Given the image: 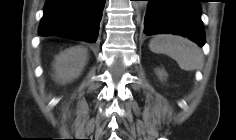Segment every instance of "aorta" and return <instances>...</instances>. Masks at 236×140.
Wrapping results in <instances>:
<instances>
[{"label": "aorta", "instance_id": "762f6f07", "mask_svg": "<svg viewBox=\"0 0 236 140\" xmlns=\"http://www.w3.org/2000/svg\"><path fill=\"white\" fill-rule=\"evenodd\" d=\"M136 3H137L138 6L144 7V6L147 5L148 2L147 1H137Z\"/></svg>", "mask_w": 236, "mask_h": 140}]
</instances>
